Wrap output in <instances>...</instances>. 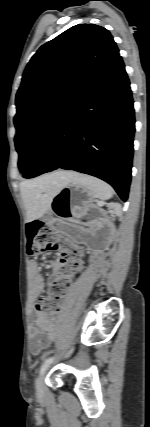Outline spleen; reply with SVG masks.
I'll use <instances>...</instances> for the list:
<instances>
[{"instance_id":"3e777b00","label":"spleen","mask_w":150,"mask_h":427,"mask_svg":"<svg viewBox=\"0 0 150 427\" xmlns=\"http://www.w3.org/2000/svg\"><path fill=\"white\" fill-rule=\"evenodd\" d=\"M74 181L81 183L83 186L91 190L95 194V197L101 201L108 200L113 196L112 187L98 178L77 174Z\"/></svg>"}]
</instances>
